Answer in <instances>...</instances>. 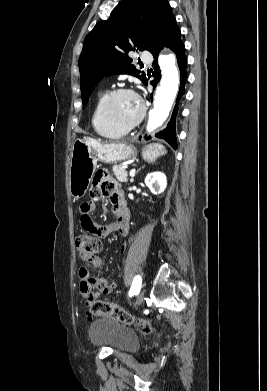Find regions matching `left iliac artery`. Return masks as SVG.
<instances>
[{"label":"left iliac artery","instance_id":"left-iliac-artery-1","mask_svg":"<svg viewBox=\"0 0 267 391\" xmlns=\"http://www.w3.org/2000/svg\"><path fill=\"white\" fill-rule=\"evenodd\" d=\"M142 279L141 276L137 275L132 283L131 289L129 291V296L132 297L134 294H137L141 288Z\"/></svg>","mask_w":267,"mask_h":391}]
</instances>
